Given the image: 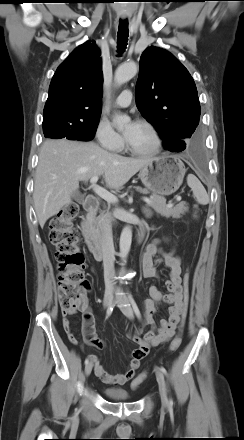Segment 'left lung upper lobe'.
<instances>
[{
  "instance_id": "obj_1",
  "label": "left lung upper lobe",
  "mask_w": 244,
  "mask_h": 440,
  "mask_svg": "<svg viewBox=\"0 0 244 440\" xmlns=\"http://www.w3.org/2000/svg\"><path fill=\"white\" fill-rule=\"evenodd\" d=\"M136 105L154 124L165 149L186 148L199 123L200 103L190 73L168 51L149 47L141 55Z\"/></svg>"
}]
</instances>
